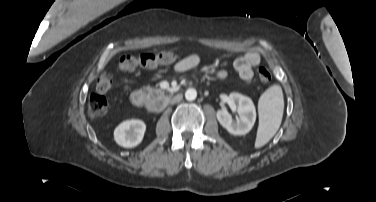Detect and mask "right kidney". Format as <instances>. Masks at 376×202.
Segmentation results:
<instances>
[{
  "label": "right kidney",
  "mask_w": 376,
  "mask_h": 202,
  "mask_svg": "<svg viewBox=\"0 0 376 202\" xmlns=\"http://www.w3.org/2000/svg\"><path fill=\"white\" fill-rule=\"evenodd\" d=\"M146 125L138 119L126 120L114 130L116 143L125 148H133L141 143Z\"/></svg>",
  "instance_id": "right-kidney-1"
}]
</instances>
